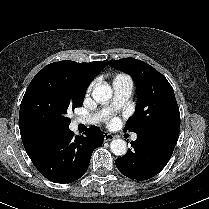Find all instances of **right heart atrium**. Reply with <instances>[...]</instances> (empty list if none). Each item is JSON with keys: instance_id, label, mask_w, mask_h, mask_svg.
<instances>
[{"instance_id": "obj_1", "label": "right heart atrium", "mask_w": 209, "mask_h": 209, "mask_svg": "<svg viewBox=\"0 0 209 209\" xmlns=\"http://www.w3.org/2000/svg\"><path fill=\"white\" fill-rule=\"evenodd\" d=\"M91 89H92V85H90V86L88 87L87 92H90Z\"/></svg>"}]
</instances>
